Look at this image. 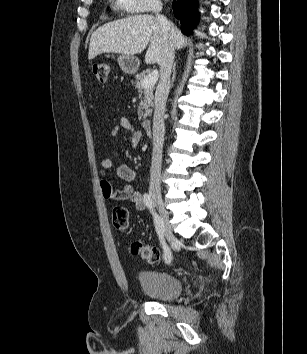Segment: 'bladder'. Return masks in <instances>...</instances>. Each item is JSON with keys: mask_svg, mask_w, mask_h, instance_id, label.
I'll return each instance as SVG.
<instances>
[{"mask_svg": "<svg viewBox=\"0 0 307 354\" xmlns=\"http://www.w3.org/2000/svg\"><path fill=\"white\" fill-rule=\"evenodd\" d=\"M144 293L152 299L170 301L177 298L183 283L176 275L159 270H142L138 275Z\"/></svg>", "mask_w": 307, "mask_h": 354, "instance_id": "1", "label": "bladder"}]
</instances>
